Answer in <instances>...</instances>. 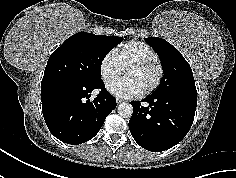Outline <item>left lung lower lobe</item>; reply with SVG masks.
<instances>
[{
  "label": "left lung lower lobe",
  "instance_id": "obj_1",
  "mask_svg": "<svg viewBox=\"0 0 236 178\" xmlns=\"http://www.w3.org/2000/svg\"><path fill=\"white\" fill-rule=\"evenodd\" d=\"M143 101L131 102L133 115L129 121L130 132L144 149L160 152L178 144L188 133L194 120L197 96L151 94Z\"/></svg>",
  "mask_w": 236,
  "mask_h": 178
}]
</instances>
